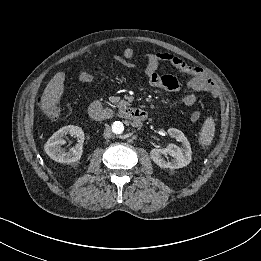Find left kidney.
I'll list each match as a JSON object with an SVG mask.
<instances>
[{
  "instance_id": "5707ae66",
  "label": "left kidney",
  "mask_w": 261,
  "mask_h": 261,
  "mask_svg": "<svg viewBox=\"0 0 261 261\" xmlns=\"http://www.w3.org/2000/svg\"><path fill=\"white\" fill-rule=\"evenodd\" d=\"M168 134L175 138L176 141L182 144V147L177 146L176 144H168L165 149L154 148L150 152V157L154 163H156L160 168H169V169H179L187 166L191 162V147L187 137L183 134L182 131L169 128L167 130ZM170 155L173 157L172 161H166L161 155Z\"/></svg>"
}]
</instances>
